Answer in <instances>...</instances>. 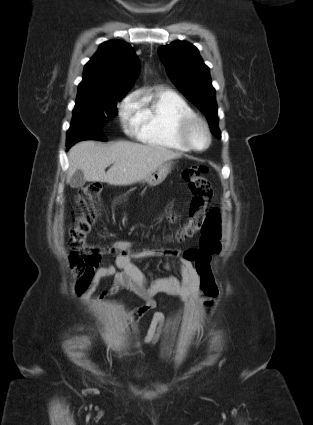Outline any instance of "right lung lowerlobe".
Listing matches in <instances>:
<instances>
[{"label": "right lung lower lobe", "instance_id": "98d812e1", "mask_svg": "<svg viewBox=\"0 0 313 425\" xmlns=\"http://www.w3.org/2000/svg\"><path fill=\"white\" fill-rule=\"evenodd\" d=\"M86 139L106 141L97 123L89 120H80L76 126H71L67 132V149L76 142Z\"/></svg>", "mask_w": 313, "mask_h": 425}]
</instances>
